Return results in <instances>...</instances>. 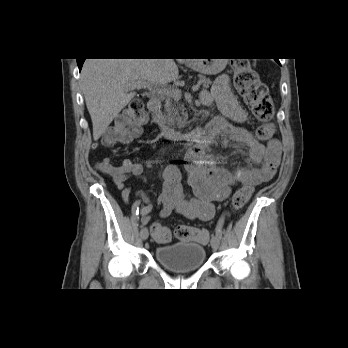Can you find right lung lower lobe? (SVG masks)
<instances>
[{"label":"right lung lower lobe","instance_id":"98d812e1","mask_svg":"<svg viewBox=\"0 0 348 348\" xmlns=\"http://www.w3.org/2000/svg\"><path fill=\"white\" fill-rule=\"evenodd\" d=\"M84 60L85 59H77L79 70H81Z\"/></svg>","mask_w":348,"mask_h":348}]
</instances>
